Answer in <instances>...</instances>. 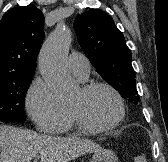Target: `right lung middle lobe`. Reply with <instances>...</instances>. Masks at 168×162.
<instances>
[{
    "instance_id": "right-lung-middle-lobe-1",
    "label": "right lung middle lobe",
    "mask_w": 168,
    "mask_h": 162,
    "mask_svg": "<svg viewBox=\"0 0 168 162\" xmlns=\"http://www.w3.org/2000/svg\"><path fill=\"white\" fill-rule=\"evenodd\" d=\"M34 73L0 80V122H24L25 93Z\"/></svg>"
}]
</instances>
